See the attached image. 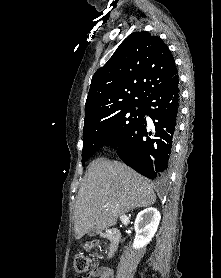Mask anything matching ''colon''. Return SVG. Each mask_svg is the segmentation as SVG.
Wrapping results in <instances>:
<instances>
[{
  "label": "colon",
  "mask_w": 221,
  "mask_h": 278,
  "mask_svg": "<svg viewBox=\"0 0 221 278\" xmlns=\"http://www.w3.org/2000/svg\"><path fill=\"white\" fill-rule=\"evenodd\" d=\"M94 245L97 246L98 243H95ZM71 264L74 273L79 275L78 278H84L83 275L88 276L94 269L91 259L84 255H75L72 258Z\"/></svg>",
  "instance_id": "colon-1"
}]
</instances>
